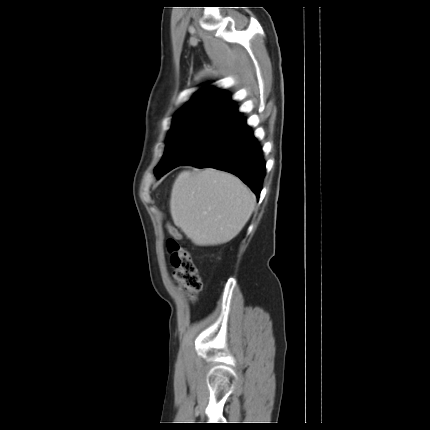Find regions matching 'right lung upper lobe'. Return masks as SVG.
<instances>
[{"label":"right lung upper lobe","instance_id":"right-lung-upper-lobe-1","mask_svg":"<svg viewBox=\"0 0 430 430\" xmlns=\"http://www.w3.org/2000/svg\"><path fill=\"white\" fill-rule=\"evenodd\" d=\"M207 105L229 106L240 116L237 111V107L230 99V95L227 92L214 87H206L200 89L192 97V99L181 109L198 108Z\"/></svg>","mask_w":430,"mask_h":430}]
</instances>
